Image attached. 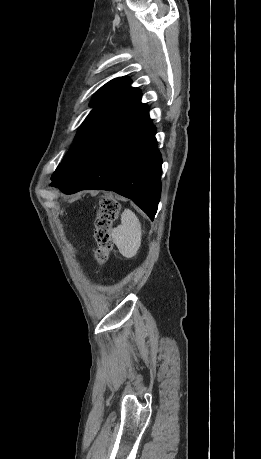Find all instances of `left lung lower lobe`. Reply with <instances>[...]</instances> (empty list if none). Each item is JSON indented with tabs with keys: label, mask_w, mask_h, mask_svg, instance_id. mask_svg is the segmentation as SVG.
<instances>
[{
	"label": "left lung lower lobe",
	"mask_w": 261,
	"mask_h": 459,
	"mask_svg": "<svg viewBox=\"0 0 261 459\" xmlns=\"http://www.w3.org/2000/svg\"><path fill=\"white\" fill-rule=\"evenodd\" d=\"M144 104L87 162L58 188L65 194L109 190L130 198L151 220L161 194L162 158Z\"/></svg>",
	"instance_id": "1"
}]
</instances>
